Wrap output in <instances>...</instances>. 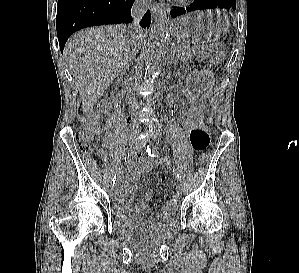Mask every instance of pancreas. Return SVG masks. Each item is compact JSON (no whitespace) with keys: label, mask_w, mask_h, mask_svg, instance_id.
Returning a JSON list of instances; mask_svg holds the SVG:
<instances>
[{"label":"pancreas","mask_w":299,"mask_h":273,"mask_svg":"<svg viewBox=\"0 0 299 273\" xmlns=\"http://www.w3.org/2000/svg\"><path fill=\"white\" fill-rule=\"evenodd\" d=\"M176 61H188L192 57V49L188 43H179L175 48Z\"/></svg>","instance_id":"1"}]
</instances>
